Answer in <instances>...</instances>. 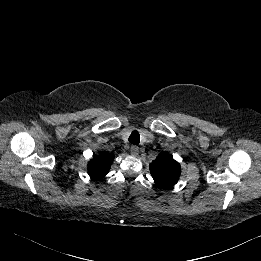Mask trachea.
<instances>
[{
  "mask_svg": "<svg viewBox=\"0 0 261 261\" xmlns=\"http://www.w3.org/2000/svg\"><path fill=\"white\" fill-rule=\"evenodd\" d=\"M129 142L134 145H138L140 142V135L137 131H133L129 136Z\"/></svg>",
  "mask_w": 261,
  "mask_h": 261,
  "instance_id": "3493384b",
  "label": "trachea"
}]
</instances>
